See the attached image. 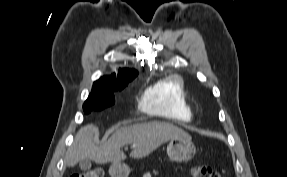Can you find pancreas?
Here are the masks:
<instances>
[{
    "mask_svg": "<svg viewBox=\"0 0 287 177\" xmlns=\"http://www.w3.org/2000/svg\"><path fill=\"white\" fill-rule=\"evenodd\" d=\"M155 174H157V172H154ZM143 177H151L150 173H146L143 175Z\"/></svg>",
    "mask_w": 287,
    "mask_h": 177,
    "instance_id": "1",
    "label": "pancreas"
}]
</instances>
